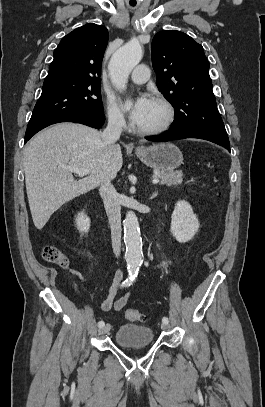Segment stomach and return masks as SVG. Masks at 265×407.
Instances as JSON below:
<instances>
[{
	"label": "stomach",
	"instance_id": "stomach-1",
	"mask_svg": "<svg viewBox=\"0 0 265 407\" xmlns=\"http://www.w3.org/2000/svg\"><path fill=\"white\" fill-rule=\"evenodd\" d=\"M138 158L158 171H173L183 163L181 151L172 143H158L136 150Z\"/></svg>",
	"mask_w": 265,
	"mask_h": 407
}]
</instances>
